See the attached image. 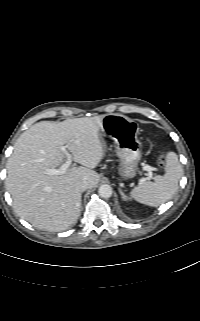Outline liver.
Wrapping results in <instances>:
<instances>
[{
    "label": "liver",
    "mask_w": 200,
    "mask_h": 321,
    "mask_svg": "<svg viewBox=\"0 0 200 321\" xmlns=\"http://www.w3.org/2000/svg\"><path fill=\"white\" fill-rule=\"evenodd\" d=\"M103 115L67 119L56 123L41 121L17 139L7 162L6 188L15 212L34 227L59 231L74 224L80 216L81 192L76 183L86 180L89 188L99 182L92 170L105 155L100 136ZM66 145L80 167H71L61 175H49L47 169L59 167Z\"/></svg>",
    "instance_id": "obj_1"
}]
</instances>
